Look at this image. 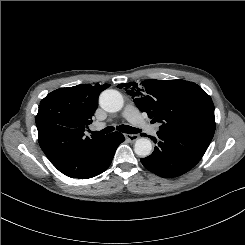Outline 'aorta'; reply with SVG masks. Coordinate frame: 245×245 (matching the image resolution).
<instances>
[{
    "mask_svg": "<svg viewBox=\"0 0 245 245\" xmlns=\"http://www.w3.org/2000/svg\"><path fill=\"white\" fill-rule=\"evenodd\" d=\"M100 106L107 112H118L124 105L123 96L120 92L113 89H107L100 94ZM134 151L141 157H147L152 151L151 141L147 138H139L134 145Z\"/></svg>",
    "mask_w": 245,
    "mask_h": 245,
    "instance_id": "1",
    "label": "aorta"
}]
</instances>
